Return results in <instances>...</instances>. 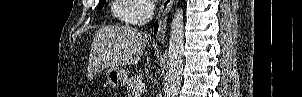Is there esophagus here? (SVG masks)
I'll return each instance as SVG.
<instances>
[{"label":"esophagus","instance_id":"34e87169","mask_svg":"<svg viewBox=\"0 0 302 97\" xmlns=\"http://www.w3.org/2000/svg\"><path fill=\"white\" fill-rule=\"evenodd\" d=\"M173 2L174 0H164L160 6V10L158 14L160 27H159L158 34L156 36V40L158 42H162L166 37L168 14L172 8Z\"/></svg>","mask_w":302,"mask_h":97}]
</instances>
